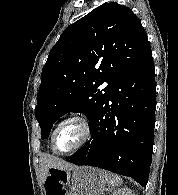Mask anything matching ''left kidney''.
I'll list each match as a JSON object with an SVG mask.
<instances>
[{
  "label": "left kidney",
  "instance_id": "obj_1",
  "mask_svg": "<svg viewBox=\"0 0 178 195\" xmlns=\"http://www.w3.org/2000/svg\"><path fill=\"white\" fill-rule=\"evenodd\" d=\"M112 195H135L130 188H121L115 190Z\"/></svg>",
  "mask_w": 178,
  "mask_h": 195
}]
</instances>
